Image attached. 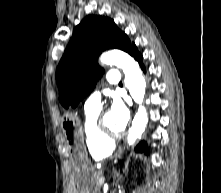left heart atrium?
I'll return each mask as SVG.
<instances>
[{"instance_id":"1","label":"left heart atrium","mask_w":221,"mask_h":193,"mask_svg":"<svg viewBox=\"0 0 221 193\" xmlns=\"http://www.w3.org/2000/svg\"><path fill=\"white\" fill-rule=\"evenodd\" d=\"M110 115L121 132L127 125L130 118V111L126 104L119 98L113 100Z\"/></svg>"}]
</instances>
